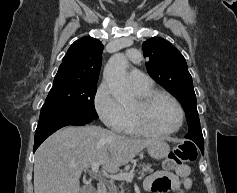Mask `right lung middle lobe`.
Instances as JSON below:
<instances>
[{
    "mask_svg": "<svg viewBox=\"0 0 237 193\" xmlns=\"http://www.w3.org/2000/svg\"><path fill=\"white\" fill-rule=\"evenodd\" d=\"M97 82L54 78L42 109L60 111L77 117L98 119L94 108Z\"/></svg>",
    "mask_w": 237,
    "mask_h": 193,
    "instance_id": "dd1d6c3e",
    "label": "right lung middle lobe"
}]
</instances>
